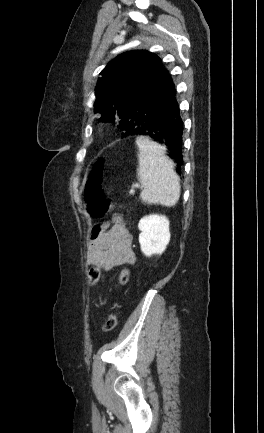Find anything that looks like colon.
Wrapping results in <instances>:
<instances>
[{"label":"colon","instance_id":"5ec220e1","mask_svg":"<svg viewBox=\"0 0 264 433\" xmlns=\"http://www.w3.org/2000/svg\"><path fill=\"white\" fill-rule=\"evenodd\" d=\"M106 161L99 158L93 164L88 181L84 190V198L87 203L89 213L97 218L105 216L112 208L111 202L106 198L103 190V179ZM100 278V269L93 266L88 271L89 285H95ZM119 282L125 285L129 281V271L121 269L118 274ZM118 323L117 314L114 311L109 312L103 325V330L109 332L113 330Z\"/></svg>","mask_w":264,"mask_h":433}]
</instances>
